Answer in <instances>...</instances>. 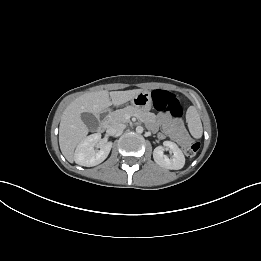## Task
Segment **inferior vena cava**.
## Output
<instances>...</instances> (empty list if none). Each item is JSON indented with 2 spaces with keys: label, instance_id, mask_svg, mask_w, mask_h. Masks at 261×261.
I'll list each match as a JSON object with an SVG mask.
<instances>
[{
  "label": "inferior vena cava",
  "instance_id": "inferior-vena-cava-1",
  "mask_svg": "<svg viewBox=\"0 0 261 261\" xmlns=\"http://www.w3.org/2000/svg\"><path fill=\"white\" fill-rule=\"evenodd\" d=\"M126 128V126L122 123H115L113 125H111L108 129H107V133L109 135H116L118 133L123 132V130Z\"/></svg>",
  "mask_w": 261,
  "mask_h": 261
}]
</instances>
